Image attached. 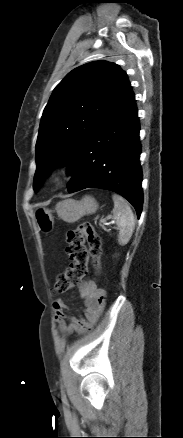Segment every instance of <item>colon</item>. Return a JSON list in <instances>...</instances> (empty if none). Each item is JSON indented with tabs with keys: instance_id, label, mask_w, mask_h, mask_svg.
Masks as SVG:
<instances>
[{
	"instance_id": "1",
	"label": "colon",
	"mask_w": 183,
	"mask_h": 438,
	"mask_svg": "<svg viewBox=\"0 0 183 438\" xmlns=\"http://www.w3.org/2000/svg\"><path fill=\"white\" fill-rule=\"evenodd\" d=\"M67 254L70 258L69 268L56 277L53 285L55 294H62L81 281L89 273V262L99 268L101 239L91 224L82 223L67 234Z\"/></svg>"
}]
</instances>
